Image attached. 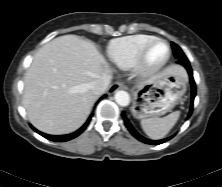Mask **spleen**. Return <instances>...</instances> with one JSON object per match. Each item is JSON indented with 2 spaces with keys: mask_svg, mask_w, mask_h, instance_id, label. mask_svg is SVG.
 <instances>
[{
  "mask_svg": "<svg viewBox=\"0 0 222 187\" xmlns=\"http://www.w3.org/2000/svg\"><path fill=\"white\" fill-rule=\"evenodd\" d=\"M180 111L172 112L171 114L159 118H144L141 120V126L143 131L152 139L164 138L170 130L174 127L179 119Z\"/></svg>",
  "mask_w": 222,
  "mask_h": 187,
  "instance_id": "spleen-1",
  "label": "spleen"
}]
</instances>
